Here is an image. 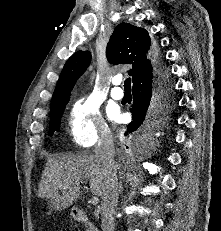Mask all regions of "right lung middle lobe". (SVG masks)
Masks as SVG:
<instances>
[{
	"label": "right lung middle lobe",
	"mask_w": 221,
	"mask_h": 231,
	"mask_svg": "<svg viewBox=\"0 0 221 231\" xmlns=\"http://www.w3.org/2000/svg\"><path fill=\"white\" fill-rule=\"evenodd\" d=\"M68 103V100L62 102L58 107L50 111V131L49 134L52 135L55 130L59 128V123L65 108V105ZM173 104L172 99H168L163 103H156L153 107H151L147 119L138 130L137 135H140L141 143H150L153 141V129L158 123L161 122L162 117L166 115V113L170 110Z\"/></svg>",
	"instance_id": "dd1d6c3e"
}]
</instances>
